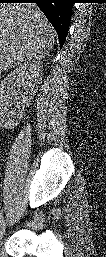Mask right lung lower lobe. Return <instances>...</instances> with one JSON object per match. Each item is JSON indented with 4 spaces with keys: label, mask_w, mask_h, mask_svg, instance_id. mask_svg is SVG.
<instances>
[{
    "label": "right lung lower lobe",
    "mask_w": 106,
    "mask_h": 257,
    "mask_svg": "<svg viewBox=\"0 0 106 257\" xmlns=\"http://www.w3.org/2000/svg\"><path fill=\"white\" fill-rule=\"evenodd\" d=\"M1 3H36L55 28L60 47L68 34L72 4L75 0H0Z\"/></svg>",
    "instance_id": "obj_1"
}]
</instances>
